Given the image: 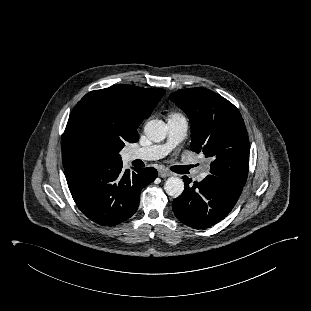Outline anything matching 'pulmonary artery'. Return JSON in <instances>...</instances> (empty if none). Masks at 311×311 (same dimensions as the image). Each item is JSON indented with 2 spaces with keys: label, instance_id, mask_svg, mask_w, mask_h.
I'll use <instances>...</instances> for the list:
<instances>
[{
  "label": "pulmonary artery",
  "instance_id": "e3ab8cb5",
  "mask_svg": "<svg viewBox=\"0 0 311 311\" xmlns=\"http://www.w3.org/2000/svg\"><path fill=\"white\" fill-rule=\"evenodd\" d=\"M168 139L166 143L132 150L128 153L130 160H157L167 155L186 136L188 122L184 117L169 118L167 122ZM208 175L207 169L196 173L195 178L202 181Z\"/></svg>",
  "mask_w": 311,
  "mask_h": 311
}]
</instances>
